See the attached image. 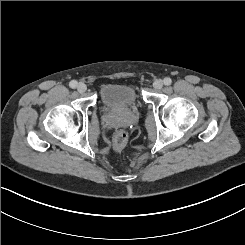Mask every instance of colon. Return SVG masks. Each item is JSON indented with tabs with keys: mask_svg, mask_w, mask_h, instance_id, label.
I'll return each mask as SVG.
<instances>
[{
	"mask_svg": "<svg viewBox=\"0 0 245 245\" xmlns=\"http://www.w3.org/2000/svg\"><path fill=\"white\" fill-rule=\"evenodd\" d=\"M128 136L123 130H118L112 139V146L116 151H122L127 144Z\"/></svg>",
	"mask_w": 245,
	"mask_h": 245,
	"instance_id": "1",
	"label": "colon"
}]
</instances>
